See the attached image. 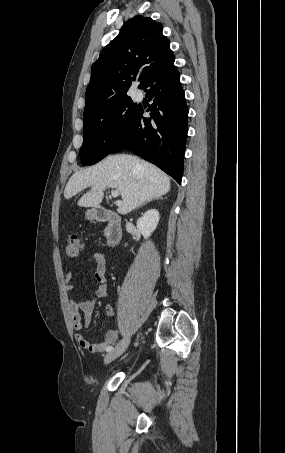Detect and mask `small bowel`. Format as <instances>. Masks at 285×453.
<instances>
[{
    "label": "small bowel",
    "instance_id": "obj_1",
    "mask_svg": "<svg viewBox=\"0 0 285 453\" xmlns=\"http://www.w3.org/2000/svg\"><path fill=\"white\" fill-rule=\"evenodd\" d=\"M95 264V280L98 285L95 290L94 296L88 299H74L70 303V314L72 319L73 329L75 331V338L77 344L84 350L96 354L104 352L109 346L114 344L118 338L119 331L117 328L108 330L102 341L98 343H91L83 334L82 330L89 326L92 320V314L95 309L97 300L104 298L109 293L108 278L106 275V256L104 253L96 252L92 255ZM72 278V274L67 275V281ZM68 290L77 293L73 284H68ZM106 316H112L114 309L111 305H107L104 309Z\"/></svg>",
    "mask_w": 285,
    "mask_h": 453
}]
</instances>
